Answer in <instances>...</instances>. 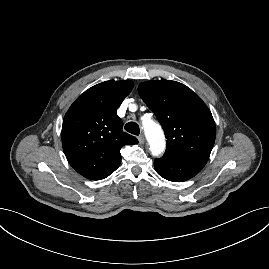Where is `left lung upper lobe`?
Returning a JSON list of instances; mask_svg holds the SVG:
<instances>
[{"label": "left lung upper lobe", "mask_w": 269, "mask_h": 269, "mask_svg": "<svg viewBox=\"0 0 269 269\" xmlns=\"http://www.w3.org/2000/svg\"><path fill=\"white\" fill-rule=\"evenodd\" d=\"M138 91L163 127L167 138L164 155L207 161L216 127L205 103L190 88L171 80L143 82Z\"/></svg>", "instance_id": "5c2ea615"}]
</instances>
